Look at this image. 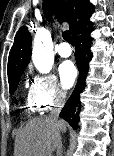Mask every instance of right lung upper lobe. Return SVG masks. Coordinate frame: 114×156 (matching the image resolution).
Segmentation results:
<instances>
[{
	"mask_svg": "<svg viewBox=\"0 0 114 156\" xmlns=\"http://www.w3.org/2000/svg\"><path fill=\"white\" fill-rule=\"evenodd\" d=\"M45 17L56 13L61 22H68L70 32L75 33L91 16L94 6L88 0H44ZM31 58V35L26 27L17 32L8 58V79L22 75Z\"/></svg>",
	"mask_w": 114,
	"mask_h": 156,
	"instance_id": "right-lung-upper-lobe-1",
	"label": "right lung upper lobe"
}]
</instances>
